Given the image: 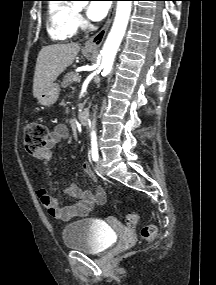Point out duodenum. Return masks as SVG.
<instances>
[{
    "instance_id": "duodenum-1",
    "label": "duodenum",
    "mask_w": 216,
    "mask_h": 285,
    "mask_svg": "<svg viewBox=\"0 0 216 285\" xmlns=\"http://www.w3.org/2000/svg\"><path fill=\"white\" fill-rule=\"evenodd\" d=\"M89 112L86 109H82L78 113V120L82 125H87L89 122Z\"/></svg>"
}]
</instances>
